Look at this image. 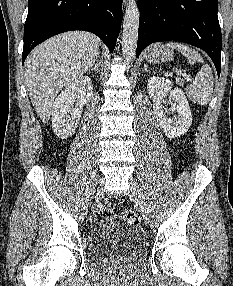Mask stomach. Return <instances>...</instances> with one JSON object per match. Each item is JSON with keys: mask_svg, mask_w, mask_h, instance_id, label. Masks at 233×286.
I'll use <instances>...</instances> for the list:
<instances>
[{"mask_svg": "<svg viewBox=\"0 0 233 286\" xmlns=\"http://www.w3.org/2000/svg\"><path fill=\"white\" fill-rule=\"evenodd\" d=\"M173 51L167 45L156 44L148 49L146 60L149 63H160L171 60Z\"/></svg>", "mask_w": 233, "mask_h": 286, "instance_id": "1", "label": "stomach"}]
</instances>
